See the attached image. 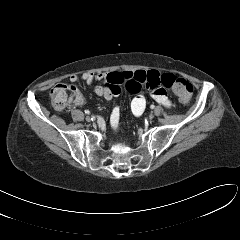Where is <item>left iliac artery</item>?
<instances>
[{"label": "left iliac artery", "mask_w": 240, "mask_h": 240, "mask_svg": "<svg viewBox=\"0 0 240 240\" xmlns=\"http://www.w3.org/2000/svg\"><path fill=\"white\" fill-rule=\"evenodd\" d=\"M150 108H151V109H154V108H155V106H154V105H151V106H150Z\"/></svg>", "instance_id": "1"}]
</instances>
